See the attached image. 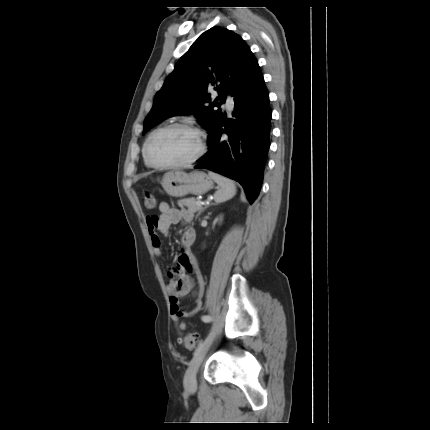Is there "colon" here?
I'll return each instance as SVG.
<instances>
[{
	"mask_svg": "<svg viewBox=\"0 0 430 430\" xmlns=\"http://www.w3.org/2000/svg\"><path fill=\"white\" fill-rule=\"evenodd\" d=\"M144 198H145V205L147 208L152 209L155 207L156 199L151 192H146L144 195ZM199 340H200V337L198 334L189 333L184 337L182 342L187 350L192 351L195 349Z\"/></svg>",
	"mask_w": 430,
	"mask_h": 430,
	"instance_id": "1",
	"label": "colon"
}]
</instances>
